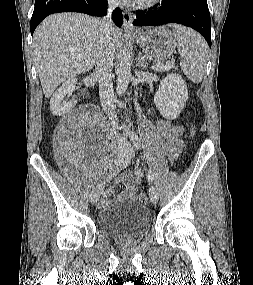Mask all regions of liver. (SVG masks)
<instances>
[{"instance_id": "1", "label": "liver", "mask_w": 253, "mask_h": 285, "mask_svg": "<svg viewBox=\"0 0 253 285\" xmlns=\"http://www.w3.org/2000/svg\"><path fill=\"white\" fill-rule=\"evenodd\" d=\"M114 47L120 32L112 27ZM34 56L45 97L61 82L89 71L99 48V20L80 13H58L47 17L34 33Z\"/></svg>"}]
</instances>
